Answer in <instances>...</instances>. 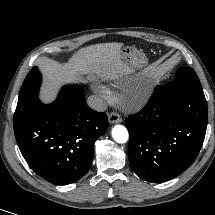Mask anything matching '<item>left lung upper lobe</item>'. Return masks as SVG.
Segmentation results:
<instances>
[{"instance_id":"5c2ea615","label":"left lung upper lobe","mask_w":215,"mask_h":215,"mask_svg":"<svg viewBox=\"0 0 215 215\" xmlns=\"http://www.w3.org/2000/svg\"><path fill=\"white\" fill-rule=\"evenodd\" d=\"M174 82L192 87H201L196 73L188 67H183L177 71Z\"/></svg>"}]
</instances>
